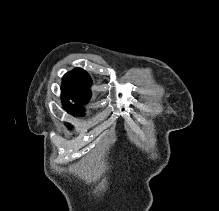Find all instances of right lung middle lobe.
Segmentation results:
<instances>
[{
	"instance_id": "1",
	"label": "right lung middle lobe",
	"mask_w": 219,
	"mask_h": 211,
	"mask_svg": "<svg viewBox=\"0 0 219 211\" xmlns=\"http://www.w3.org/2000/svg\"><path fill=\"white\" fill-rule=\"evenodd\" d=\"M63 104L65 109L72 115L82 116L84 114L83 109L81 107L72 104H66V103Z\"/></svg>"
}]
</instances>
